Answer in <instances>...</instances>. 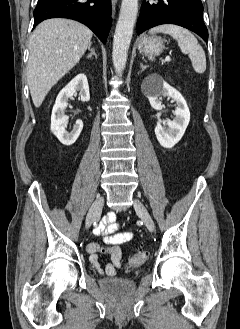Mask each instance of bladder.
<instances>
[{"mask_svg": "<svg viewBox=\"0 0 240 329\" xmlns=\"http://www.w3.org/2000/svg\"><path fill=\"white\" fill-rule=\"evenodd\" d=\"M100 287L115 297H123L134 291L135 284L124 277H110L101 280Z\"/></svg>", "mask_w": 240, "mask_h": 329, "instance_id": "bladder-1", "label": "bladder"}]
</instances>
